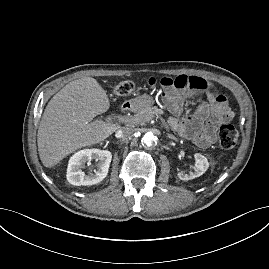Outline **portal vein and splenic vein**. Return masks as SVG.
<instances>
[{
  "instance_id": "18ae733b",
  "label": "portal vein and splenic vein",
  "mask_w": 269,
  "mask_h": 269,
  "mask_svg": "<svg viewBox=\"0 0 269 269\" xmlns=\"http://www.w3.org/2000/svg\"><path fill=\"white\" fill-rule=\"evenodd\" d=\"M123 121H126V122H131L132 121V119L131 118H126V119H124V118H121Z\"/></svg>"
}]
</instances>
